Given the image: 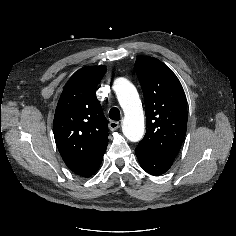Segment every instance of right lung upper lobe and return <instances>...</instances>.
<instances>
[{
  "label": "right lung upper lobe",
  "mask_w": 236,
  "mask_h": 236,
  "mask_svg": "<svg viewBox=\"0 0 236 236\" xmlns=\"http://www.w3.org/2000/svg\"><path fill=\"white\" fill-rule=\"evenodd\" d=\"M106 67H83L66 83L53 128L58 150L74 173L90 177L101 164L108 144V123L96 98Z\"/></svg>",
  "instance_id": "obj_1"
}]
</instances>
